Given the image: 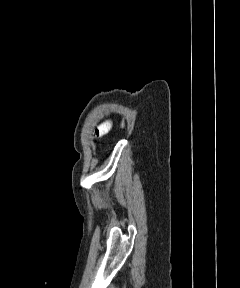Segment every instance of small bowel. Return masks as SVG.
Instances as JSON below:
<instances>
[{
  "label": "small bowel",
  "mask_w": 240,
  "mask_h": 288,
  "mask_svg": "<svg viewBox=\"0 0 240 288\" xmlns=\"http://www.w3.org/2000/svg\"><path fill=\"white\" fill-rule=\"evenodd\" d=\"M111 128V122L107 121V122H104L102 123L96 130V134L97 135H104L106 134Z\"/></svg>",
  "instance_id": "obj_1"
}]
</instances>
